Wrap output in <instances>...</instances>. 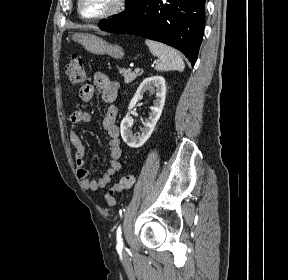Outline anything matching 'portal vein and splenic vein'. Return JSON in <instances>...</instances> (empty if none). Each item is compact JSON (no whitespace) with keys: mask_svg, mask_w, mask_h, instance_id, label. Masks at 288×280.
<instances>
[{"mask_svg":"<svg viewBox=\"0 0 288 280\" xmlns=\"http://www.w3.org/2000/svg\"><path fill=\"white\" fill-rule=\"evenodd\" d=\"M136 73L140 72V68H135L134 70Z\"/></svg>","mask_w":288,"mask_h":280,"instance_id":"obj_1","label":"portal vein and splenic vein"}]
</instances>
